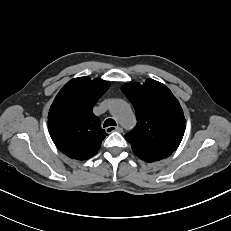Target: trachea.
Returning a JSON list of instances; mask_svg holds the SVG:
<instances>
[{"instance_id":"obj_1","label":"trachea","mask_w":231,"mask_h":231,"mask_svg":"<svg viewBox=\"0 0 231 231\" xmlns=\"http://www.w3.org/2000/svg\"><path fill=\"white\" fill-rule=\"evenodd\" d=\"M108 126H116L115 120H113L111 118L105 120L103 127H108Z\"/></svg>"}]
</instances>
